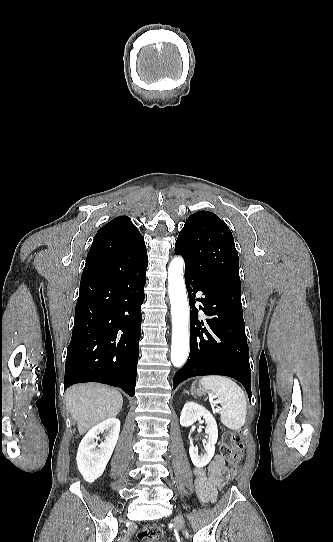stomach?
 <instances>
[{
  "label": "stomach",
  "instance_id": "1",
  "mask_svg": "<svg viewBox=\"0 0 333 542\" xmlns=\"http://www.w3.org/2000/svg\"><path fill=\"white\" fill-rule=\"evenodd\" d=\"M190 392L192 396H195V398H198V396H205L206 390H203L202 386H200V382H193Z\"/></svg>",
  "mask_w": 333,
  "mask_h": 542
}]
</instances>
